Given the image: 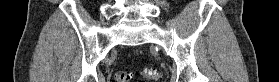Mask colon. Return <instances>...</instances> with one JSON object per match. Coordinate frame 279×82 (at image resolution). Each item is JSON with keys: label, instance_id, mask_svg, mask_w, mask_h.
<instances>
[{"label": "colon", "instance_id": "obj_1", "mask_svg": "<svg viewBox=\"0 0 279 82\" xmlns=\"http://www.w3.org/2000/svg\"><path fill=\"white\" fill-rule=\"evenodd\" d=\"M158 70L152 67H147L142 70V75L147 79H156L158 77ZM131 73L127 70L118 71L114 76L115 82H129Z\"/></svg>", "mask_w": 279, "mask_h": 82}]
</instances>
